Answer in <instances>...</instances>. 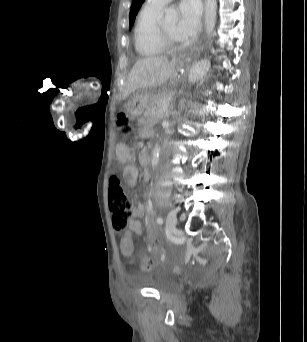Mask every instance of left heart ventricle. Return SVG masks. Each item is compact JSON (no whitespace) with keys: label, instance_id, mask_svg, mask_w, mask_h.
Segmentation results:
<instances>
[{"label":"left heart ventricle","instance_id":"1","mask_svg":"<svg viewBox=\"0 0 307 342\" xmlns=\"http://www.w3.org/2000/svg\"><path fill=\"white\" fill-rule=\"evenodd\" d=\"M176 23L173 21L162 22L163 36L167 44L174 49H180L182 43L175 36Z\"/></svg>","mask_w":307,"mask_h":342}]
</instances>
